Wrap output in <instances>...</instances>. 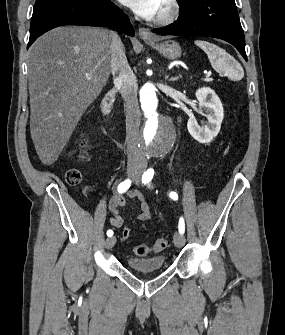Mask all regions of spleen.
Returning a JSON list of instances; mask_svg holds the SVG:
<instances>
[{
    "instance_id": "spleen-1",
    "label": "spleen",
    "mask_w": 285,
    "mask_h": 335,
    "mask_svg": "<svg viewBox=\"0 0 285 335\" xmlns=\"http://www.w3.org/2000/svg\"><path fill=\"white\" fill-rule=\"evenodd\" d=\"M194 44L207 54L212 68H215V70H217L219 66L226 68L228 54H226L225 50H221V48L214 46V44H209V42H202V40H195Z\"/></svg>"
}]
</instances>
